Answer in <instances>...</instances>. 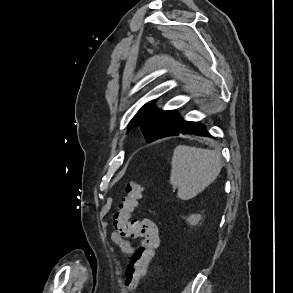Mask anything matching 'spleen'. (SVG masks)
<instances>
[{"label":"spleen","mask_w":293,"mask_h":293,"mask_svg":"<svg viewBox=\"0 0 293 293\" xmlns=\"http://www.w3.org/2000/svg\"><path fill=\"white\" fill-rule=\"evenodd\" d=\"M221 168L219 152L179 145L171 160L170 184L178 188V198L189 200L214 182Z\"/></svg>","instance_id":"1"}]
</instances>
